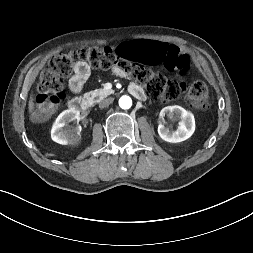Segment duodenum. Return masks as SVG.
<instances>
[{"mask_svg": "<svg viewBox=\"0 0 253 253\" xmlns=\"http://www.w3.org/2000/svg\"><path fill=\"white\" fill-rule=\"evenodd\" d=\"M130 92L138 99H143L145 96L143 90L136 85L130 87ZM92 105L93 99L91 97H74L69 102V107L72 110L81 113L89 111Z\"/></svg>", "mask_w": 253, "mask_h": 253, "instance_id": "obj_1", "label": "duodenum"}]
</instances>
